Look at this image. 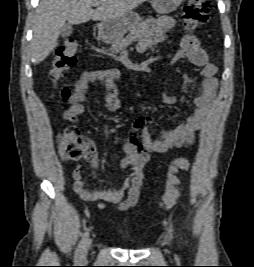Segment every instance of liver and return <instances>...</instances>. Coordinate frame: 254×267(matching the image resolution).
<instances>
[{"label":"liver","mask_w":254,"mask_h":267,"mask_svg":"<svg viewBox=\"0 0 254 267\" xmlns=\"http://www.w3.org/2000/svg\"><path fill=\"white\" fill-rule=\"evenodd\" d=\"M146 0H40L35 11L31 54L35 64L57 47L62 26L120 18ZM95 3L99 6L92 9Z\"/></svg>","instance_id":"1"}]
</instances>
